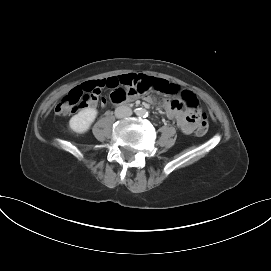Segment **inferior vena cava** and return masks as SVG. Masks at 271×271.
<instances>
[{
  "label": "inferior vena cava",
  "mask_w": 271,
  "mask_h": 271,
  "mask_svg": "<svg viewBox=\"0 0 271 271\" xmlns=\"http://www.w3.org/2000/svg\"><path fill=\"white\" fill-rule=\"evenodd\" d=\"M132 115V109L127 106H119L115 109V116L117 118H125Z\"/></svg>",
  "instance_id": "602c4592"
}]
</instances>
